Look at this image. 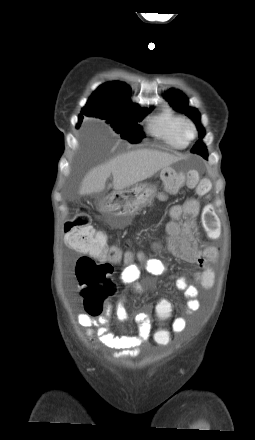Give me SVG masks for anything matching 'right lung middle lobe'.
I'll list each match as a JSON object with an SVG mask.
<instances>
[{"label":"right lung middle lobe","instance_id":"right-lung-middle-lobe-1","mask_svg":"<svg viewBox=\"0 0 255 440\" xmlns=\"http://www.w3.org/2000/svg\"><path fill=\"white\" fill-rule=\"evenodd\" d=\"M150 109H141L136 104L114 106L106 105L100 102L89 101L82 109L79 122L83 120V115L99 117L106 120L122 139H126L131 143H139L144 138L138 121L150 113Z\"/></svg>","mask_w":255,"mask_h":440}]
</instances>
